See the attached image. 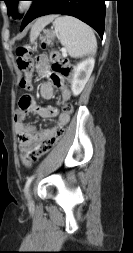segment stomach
<instances>
[{
  "label": "stomach",
  "mask_w": 133,
  "mask_h": 253,
  "mask_svg": "<svg viewBox=\"0 0 133 253\" xmlns=\"http://www.w3.org/2000/svg\"><path fill=\"white\" fill-rule=\"evenodd\" d=\"M44 36L41 37V41L44 43H50L56 36V33L54 31L45 30Z\"/></svg>",
  "instance_id": "stomach-1"
}]
</instances>
